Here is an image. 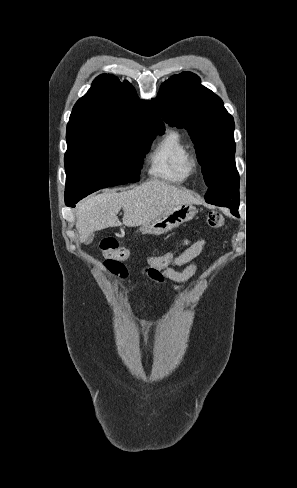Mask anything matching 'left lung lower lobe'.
<instances>
[{"label":"left lung lower lobe","mask_w":297,"mask_h":488,"mask_svg":"<svg viewBox=\"0 0 297 488\" xmlns=\"http://www.w3.org/2000/svg\"><path fill=\"white\" fill-rule=\"evenodd\" d=\"M235 216L239 217V214H235Z\"/></svg>","instance_id":"1"}]
</instances>
